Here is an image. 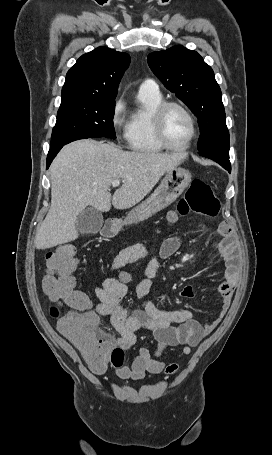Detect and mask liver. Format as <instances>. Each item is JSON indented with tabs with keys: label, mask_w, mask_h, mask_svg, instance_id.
<instances>
[{
	"label": "liver",
	"mask_w": 272,
	"mask_h": 455,
	"mask_svg": "<svg viewBox=\"0 0 272 455\" xmlns=\"http://www.w3.org/2000/svg\"><path fill=\"white\" fill-rule=\"evenodd\" d=\"M185 154L123 151L113 143L86 139L64 146L50 167L51 207L39 227L36 249H48L78 238L75 222L88 206L101 212L139 203ZM114 180L123 185L113 196Z\"/></svg>",
	"instance_id": "liver-1"
}]
</instances>
